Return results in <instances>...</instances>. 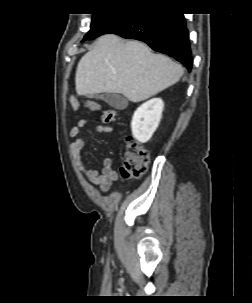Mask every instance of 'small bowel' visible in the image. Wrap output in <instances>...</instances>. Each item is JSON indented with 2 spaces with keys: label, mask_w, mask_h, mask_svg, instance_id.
<instances>
[{
  "label": "small bowel",
  "mask_w": 252,
  "mask_h": 303,
  "mask_svg": "<svg viewBox=\"0 0 252 303\" xmlns=\"http://www.w3.org/2000/svg\"><path fill=\"white\" fill-rule=\"evenodd\" d=\"M88 120L83 118L77 121L70 131L72 142L70 145V152L75 161L79 171L89 180L90 183L97 186L101 191H108L112 184L118 179V173L113 169V160L111 157L103 159V166L101 172L91 169L86 166L82 160V149L85 142L79 137L80 131L87 125ZM98 133H111L114 131L113 127L108 124H102L95 127Z\"/></svg>",
  "instance_id": "obj_1"
}]
</instances>
